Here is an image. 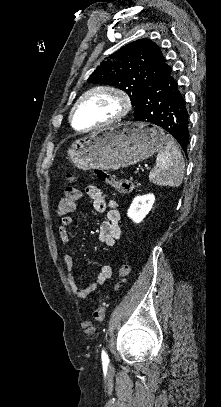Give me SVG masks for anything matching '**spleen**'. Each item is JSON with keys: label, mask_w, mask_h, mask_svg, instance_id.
Here are the masks:
<instances>
[{"label": "spleen", "mask_w": 221, "mask_h": 407, "mask_svg": "<svg viewBox=\"0 0 221 407\" xmlns=\"http://www.w3.org/2000/svg\"><path fill=\"white\" fill-rule=\"evenodd\" d=\"M164 144L157 154L156 167L149 173V180L159 186L178 187L184 176V158L173 137L166 135Z\"/></svg>", "instance_id": "obj_1"}]
</instances>
